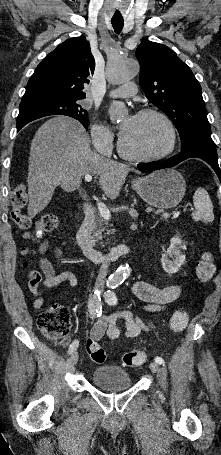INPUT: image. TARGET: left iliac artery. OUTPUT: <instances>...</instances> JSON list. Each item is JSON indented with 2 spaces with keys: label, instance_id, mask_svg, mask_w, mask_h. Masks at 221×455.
I'll return each instance as SVG.
<instances>
[{
  "label": "left iliac artery",
  "instance_id": "obj_1",
  "mask_svg": "<svg viewBox=\"0 0 221 455\" xmlns=\"http://www.w3.org/2000/svg\"><path fill=\"white\" fill-rule=\"evenodd\" d=\"M111 290H108L106 293H105V300L106 302L109 304V305H115L117 303V296L116 294L114 293V291L112 289L115 288V286H110ZM155 362L160 364V365H164V360L161 358V357H156L155 358Z\"/></svg>",
  "mask_w": 221,
  "mask_h": 455
}]
</instances>
